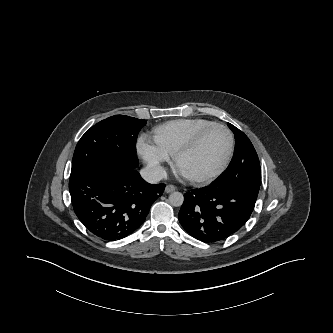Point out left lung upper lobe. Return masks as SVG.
<instances>
[{"mask_svg": "<svg viewBox=\"0 0 333 333\" xmlns=\"http://www.w3.org/2000/svg\"><path fill=\"white\" fill-rule=\"evenodd\" d=\"M235 135L234 157L224 173L213 183L242 189L253 196L258 195L261 169L257 153L249 138L238 128L228 123Z\"/></svg>", "mask_w": 333, "mask_h": 333, "instance_id": "5c2ea615", "label": "left lung upper lobe"}]
</instances>
